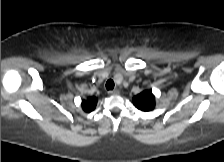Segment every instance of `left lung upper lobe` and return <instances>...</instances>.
<instances>
[{
	"label": "left lung upper lobe",
	"mask_w": 224,
	"mask_h": 162,
	"mask_svg": "<svg viewBox=\"0 0 224 162\" xmlns=\"http://www.w3.org/2000/svg\"><path fill=\"white\" fill-rule=\"evenodd\" d=\"M133 104L141 111H151L155 107V97L151 91L145 90L133 98Z\"/></svg>",
	"instance_id": "obj_1"
}]
</instances>
